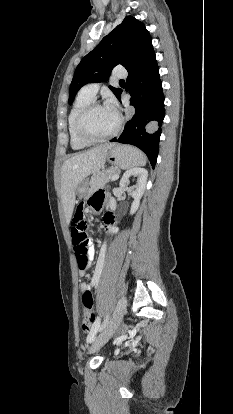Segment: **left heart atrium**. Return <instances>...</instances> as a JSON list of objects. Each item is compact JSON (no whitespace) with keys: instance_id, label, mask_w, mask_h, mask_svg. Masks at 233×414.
I'll return each instance as SVG.
<instances>
[{"instance_id":"obj_1","label":"left heart atrium","mask_w":233,"mask_h":414,"mask_svg":"<svg viewBox=\"0 0 233 414\" xmlns=\"http://www.w3.org/2000/svg\"><path fill=\"white\" fill-rule=\"evenodd\" d=\"M106 108L109 109L111 112L118 114L117 104L114 99H109Z\"/></svg>"}]
</instances>
